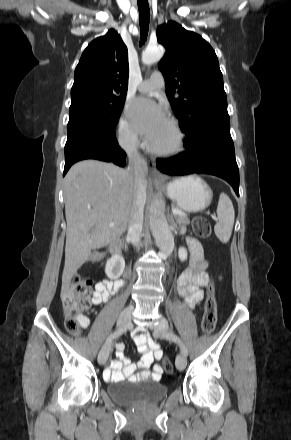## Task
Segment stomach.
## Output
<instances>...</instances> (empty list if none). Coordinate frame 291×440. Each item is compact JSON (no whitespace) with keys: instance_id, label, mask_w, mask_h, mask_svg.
Wrapping results in <instances>:
<instances>
[{"instance_id":"1","label":"stomach","mask_w":291,"mask_h":440,"mask_svg":"<svg viewBox=\"0 0 291 440\" xmlns=\"http://www.w3.org/2000/svg\"><path fill=\"white\" fill-rule=\"evenodd\" d=\"M157 189L165 192L180 209L187 212H198L207 208L213 198L209 185L196 175L175 179Z\"/></svg>"}]
</instances>
